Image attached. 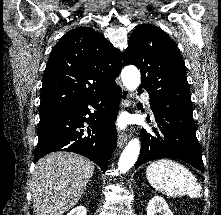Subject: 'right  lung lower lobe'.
I'll use <instances>...</instances> for the list:
<instances>
[{"label":"right lung lower lobe","mask_w":221,"mask_h":215,"mask_svg":"<svg viewBox=\"0 0 221 215\" xmlns=\"http://www.w3.org/2000/svg\"><path fill=\"white\" fill-rule=\"evenodd\" d=\"M121 96L115 83L65 108L40 114L34 162L53 151H68L89 158L105 172L117 145L115 119Z\"/></svg>","instance_id":"obj_1"}]
</instances>
